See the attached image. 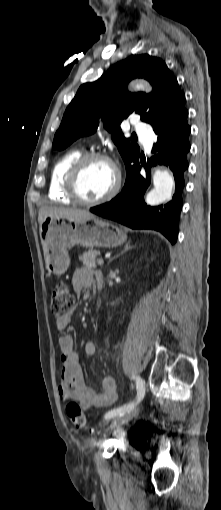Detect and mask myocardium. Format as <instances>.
Returning a JSON list of instances; mask_svg holds the SVG:
<instances>
[{
	"instance_id": "f54148a6",
	"label": "myocardium",
	"mask_w": 221,
	"mask_h": 510,
	"mask_svg": "<svg viewBox=\"0 0 221 510\" xmlns=\"http://www.w3.org/2000/svg\"><path fill=\"white\" fill-rule=\"evenodd\" d=\"M92 161H105L109 163L114 169L116 178L113 188L107 194L95 200H87L80 194L78 182L85 166ZM121 185L122 175L117 164L110 156L101 152H87L80 155L70 167L65 179V191L68 196L75 203L86 207L98 206L111 201L119 193Z\"/></svg>"
}]
</instances>
